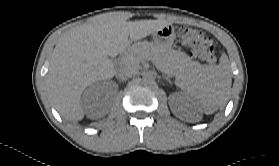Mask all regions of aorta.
<instances>
[{
    "instance_id": "aorta-1",
    "label": "aorta",
    "mask_w": 279,
    "mask_h": 166,
    "mask_svg": "<svg viewBox=\"0 0 279 166\" xmlns=\"http://www.w3.org/2000/svg\"><path fill=\"white\" fill-rule=\"evenodd\" d=\"M142 82L145 85H151L154 83V78L151 75H144L142 78Z\"/></svg>"
}]
</instances>
